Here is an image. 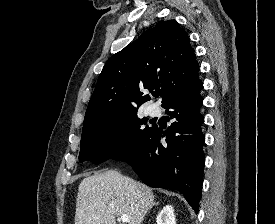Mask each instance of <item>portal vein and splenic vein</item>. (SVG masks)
<instances>
[{"mask_svg":"<svg viewBox=\"0 0 275 224\" xmlns=\"http://www.w3.org/2000/svg\"><path fill=\"white\" fill-rule=\"evenodd\" d=\"M120 220L122 221V223H128L129 222V218H128L127 215H121Z\"/></svg>","mask_w":275,"mask_h":224,"instance_id":"1","label":"portal vein and splenic vein"}]
</instances>
